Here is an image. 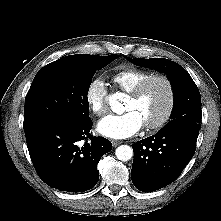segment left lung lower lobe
<instances>
[{"label":"left lung lower lobe","instance_id":"1","mask_svg":"<svg viewBox=\"0 0 221 221\" xmlns=\"http://www.w3.org/2000/svg\"><path fill=\"white\" fill-rule=\"evenodd\" d=\"M198 128L175 127L132 145L131 178L135 187L152 192L175 181L193 157Z\"/></svg>","mask_w":221,"mask_h":221}]
</instances>
